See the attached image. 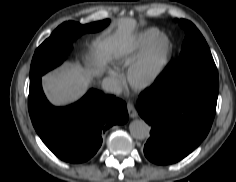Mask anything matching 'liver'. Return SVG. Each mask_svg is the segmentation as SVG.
<instances>
[{"label": "liver", "instance_id": "obj_1", "mask_svg": "<svg viewBox=\"0 0 236 182\" xmlns=\"http://www.w3.org/2000/svg\"><path fill=\"white\" fill-rule=\"evenodd\" d=\"M135 26L134 20L119 24L114 37L98 38L94 43V61L87 68L66 67L43 77V86L48 99L56 105H64L79 99L87 90L93 77H99L106 63L117 54L119 47L126 45L129 30Z\"/></svg>", "mask_w": 236, "mask_h": 182}]
</instances>
